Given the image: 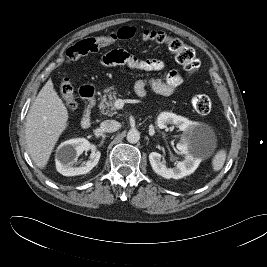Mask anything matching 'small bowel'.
<instances>
[{"label":"small bowel","instance_id":"c3829d8e","mask_svg":"<svg viewBox=\"0 0 267 267\" xmlns=\"http://www.w3.org/2000/svg\"><path fill=\"white\" fill-rule=\"evenodd\" d=\"M104 67L125 66L132 70L162 71L165 68L163 61L159 59H140L139 57L123 50H112L101 58ZM183 84L181 74L176 70L165 72L164 78H147L138 80L134 89L138 96L146 95V88L150 87L154 92L163 96L175 93Z\"/></svg>","mask_w":267,"mask_h":267}]
</instances>
